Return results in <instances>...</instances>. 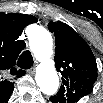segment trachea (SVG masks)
Wrapping results in <instances>:
<instances>
[{"label":"trachea","mask_w":103,"mask_h":103,"mask_svg":"<svg viewBox=\"0 0 103 103\" xmlns=\"http://www.w3.org/2000/svg\"><path fill=\"white\" fill-rule=\"evenodd\" d=\"M17 65L23 69H29L33 65V57L30 51H24L20 55Z\"/></svg>","instance_id":"trachea-1"}]
</instances>
